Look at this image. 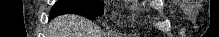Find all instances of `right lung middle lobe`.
<instances>
[{
  "label": "right lung middle lobe",
  "mask_w": 219,
  "mask_h": 37,
  "mask_svg": "<svg viewBox=\"0 0 219 37\" xmlns=\"http://www.w3.org/2000/svg\"><path fill=\"white\" fill-rule=\"evenodd\" d=\"M103 13L101 1L60 0V2L51 10L50 17H56L61 14H77L92 19Z\"/></svg>",
  "instance_id": "right-lung-middle-lobe-1"
}]
</instances>
